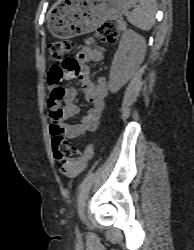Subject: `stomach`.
<instances>
[{
    "mask_svg": "<svg viewBox=\"0 0 194 250\" xmlns=\"http://www.w3.org/2000/svg\"><path fill=\"white\" fill-rule=\"evenodd\" d=\"M138 0H59L50 10L52 35L69 39L96 30L107 20L120 18Z\"/></svg>",
    "mask_w": 194,
    "mask_h": 250,
    "instance_id": "1",
    "label": "stomach"
}]
</instances>
